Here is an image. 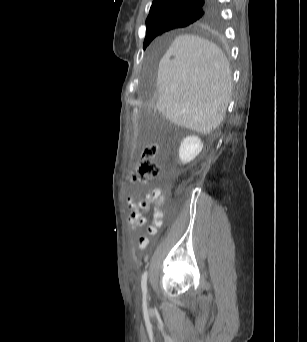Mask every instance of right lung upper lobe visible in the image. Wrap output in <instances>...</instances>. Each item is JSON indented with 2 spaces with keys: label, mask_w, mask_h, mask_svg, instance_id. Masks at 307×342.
Returning <instances> with one entry per match:
<instances>
[{
  "label": "right lung upper lobe",
  "mask_w": 307,
  "mask_h": 342,
  "mask_svg": "<svg viewBox=\"0 0 307 342\" xmlns=\"http://www.w3.org/2000/svg\"><path fill=\"white\" fill-rule=\"evenodd\" d=\"M183 9L202 10V15L188 26L196 32L210 33L216 21V3L212 0H154L146 19L147 27L151 26L157 16L166 11Z\"/></svg>",
  "instance_id": "right-lung-upper-lobe-1"
}]
</instances>
